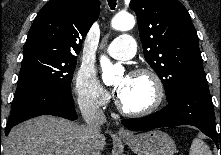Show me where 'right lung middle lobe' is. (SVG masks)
<instances>
[{"label":"right lung middle lobe","instance_id":"dd1d6c3e","mask_svg":"<svg viewBox=\"0 0 221 155\" xmlns=\"http://www.w3.org/2000/svg\"><path fill=\"white\" fill-rule=\"evenodd\" d=\"M76 62L77 59L60 58L48 54L24 56L14 100L32 85H44L62 93L71 94L70 84Z\"/></svg>","mask_w":221,"mask_h":155}]
</instances>
